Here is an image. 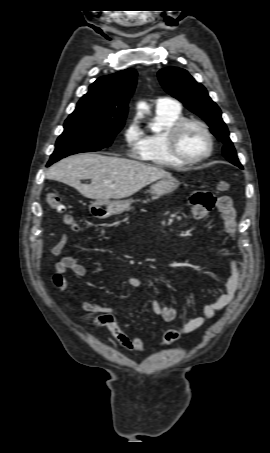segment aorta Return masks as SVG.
Instances as JSON below:
<instances>
[{"instance_id": "obj_1", "label": "aorta", "mask_w": 270, "mask_h": 453, "mask_svg": "<svg viewBox=\"0 0 270 453\" xmlns=\"http://www.w3.org/2000/svg\"><path fill=\"white\" fill-rule=\"evenodd\" d=\"M138 109H140V110H142L144 112L149 111L148 105L146 103H144V102H141V103L138 104Z\"/></svg>"}]
</instances>
